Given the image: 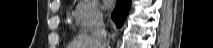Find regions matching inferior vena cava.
I'll return each mask as SVG.
<instances>
[{"label": "inferior vena cava", "instance_id": "602c4592", "mask_svg": "<svg viewBox=\"0 0 213 48\" xmlns=\"http://www.w3.org/2000/svg\"><path fill=\"white\" fill-rule=\"evenodd\" d=\"M91 37L95 42L96 48H106L107 32L103 20V14L97 12L94 16Z\"/></svg>", "mask_w": 213, "mask_h": 48}]
</instances>
